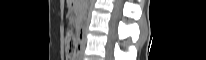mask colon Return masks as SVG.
Wrapping results in <instances>:
<instances>
[{
  "mask_svg": "<svg viewBox=\"0 0 206 60\" xmlns=\"http://www.w3.org/2000/svg\"><path fill=\"white\" fill-rule=\"evenodd\" d=\"M66 37L69 42V56L72 57L76 51V48L73 43V31L71 28H68L66 31Z\"/></svg>",
  "mask_w": 206,
  "mask_h": 60,
  "instance_id": "5ec220e1",
  "label": "colon"
}]
</instances>
